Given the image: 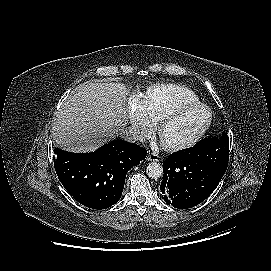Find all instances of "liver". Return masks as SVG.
Masks as SVG:
<instances>
[{"label": "liver", "mask_w": 271, "mask_h": 271, "mask_svg": "<svg viewBox=\"0 0 271 271\" xmlns=\"http://www.w3.org/2000/svg\"><path fill=\"white\" fill-rule=\"evenodd\" d=\"M128 93L126 86L117 82L78 85L59 109L53 127L56 145L88 152L118 136L127 124Z\"/></svg>", "instance_id": "obj_1"}]
</instances>
